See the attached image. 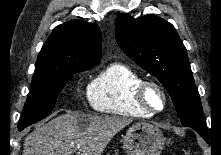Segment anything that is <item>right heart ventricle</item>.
Masks as SVG:
<instances>
[{"label": "right heart ventricle", "mask_w": 221, "mask_h": 155, "mask_svg": "<svg viewBox=\"0 0 221 155\" xmlns=\"http://www.w3.org/2000/svg\"><path fill=\"white\" fill-rule=\"evenodd\" d=\"M143 78L123 63H113L103 69L89 84L87 97L98 112L146 118L152 114L143 110L135 99V92Z\"/></svg>", "instance_id": "right-heart-ventricle-1"}]
</instances>
